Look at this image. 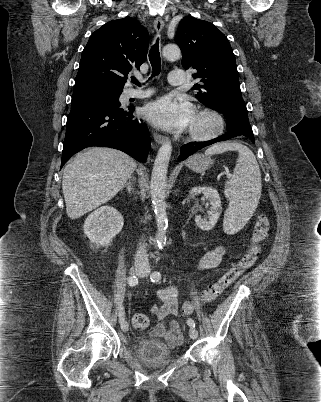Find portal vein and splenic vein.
Listing matches in <instances>:
<instances>
[{
    "mask_svg": "<svg viewBox=\"0 0 321 402\" xmlns=\"http://www.w3.org/2000/svg\"><path fill=\"white\" fill-rule=\"evenodd\" d=\"M227 176L230 177L231 175H230V174H227Z\"/></svg>",
    "mask_w": 321,
    "mask_h": 402,
    "instance_id": "obj_1",
    "label": "portal vein and splenic vein"
}]
</instances>
